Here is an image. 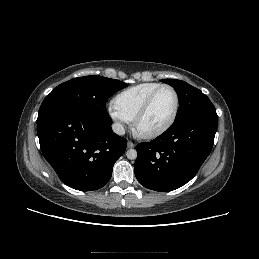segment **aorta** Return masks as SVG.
<instances>
[{
	"instance_id": "1",
	"label": "aorta",
	"mask_w": 259,
	"mask_h": 259,
	"mask_svg": "<svg viewBox=\"0 0 259 259\" xmlns=\"http://www.w3.org/2000/svg\"><path fill=\"white\" fill-rule=\"evenodd\" d=\"M128 159L133 160L137 158V151L135 149H129L126 153Z\"/></svg>"
}]
</instances>
